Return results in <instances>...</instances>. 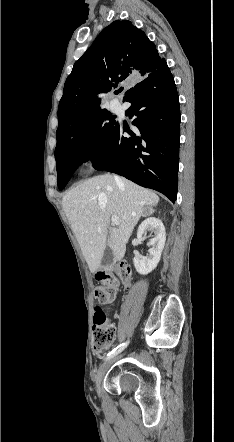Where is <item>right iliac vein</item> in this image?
<instances>
[{
	"label": "right iliac vein",
	"mask_w": 234,
	"mask_h": 442,
	"mask_svg": "<svg viewBox=\"0 0 234 442\" xmlns=\"http://www.w3.org/2000/svg\"><path fill=\"white\" fill-rule=\"evenodd\" d=\"M116 358H111L109 360H107L106 362H104L100 368L98 369L96 378H95V383H96V388L97 390H100V386H101V382L103 380L104 375L106 374L107 370L109 369V367L112 365V363L115 361Z\"/></svg>",
	"instance_id": "right-iliac-vein-1"
}]
</instances>
